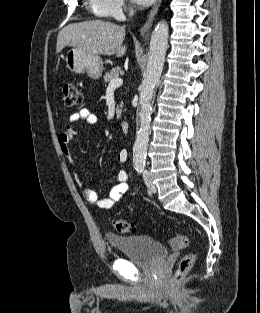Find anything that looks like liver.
<instances>
[{
	"mask_svg": "<svg viewBox=\"0 0 260 313\" xmlns=\"http://www.w3.org/2000/svg\"><path fill=\"white\" fill-rule=\"evenodd\" d=\"M125 27L102 21H84L63 28L57 37L56 52L70 46L94 54L122 57L127 51L123 44Z\"/></svg>",
	"mask_w": 260,
	"mask_h": 313,
	"instance_id": "obj_1",
	"label": "liver"
}]
</instances>
